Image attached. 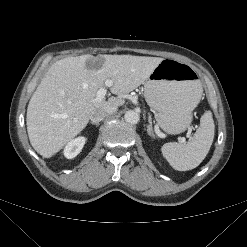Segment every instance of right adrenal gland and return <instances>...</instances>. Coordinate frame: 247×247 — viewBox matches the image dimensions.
<instances>
[{
  "label": "right adrenal gland",
  "instance_id": "2a0ac1e0",
  "mask_svg": "<svg viewBox=\"0 0 247 247\" xmlns=\"http://www.w3.org/2000/svg\"><path fill=\"white\" fill-rule=\"evenodd\" d=\"M90 124H92V125H96V126H98V125H99L98 123H94V122H90Z\"/></svg>",
  "mask_w": 247,
  "mask_h": 247
}]
</instances>
